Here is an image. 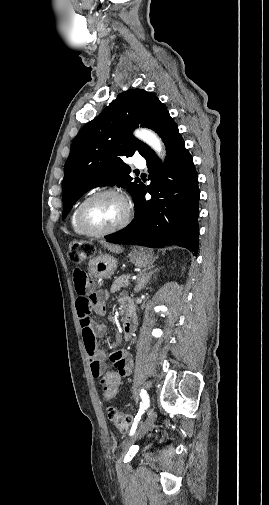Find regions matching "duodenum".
I'll list each match as a JSON object with an SVG mask.
<instances>
[{
	"mask_svg": "<svg viewBox=\"0 0 269 505\" xmlns=\"http://www.w3.org/2000/svg\"><path fill=\"white\" fill-rule=\"evenodd\" d=\"M123 303H124L123 333L124 338L126 340H129L136 330L137 316L133 308V305L129 300L126 299Z\"/></svg>",
	"mask_w": 269,
	"mask_h": 505,
	"instance_id": "410a0bca",
	"label": "duodenum"
}]
</instances>
